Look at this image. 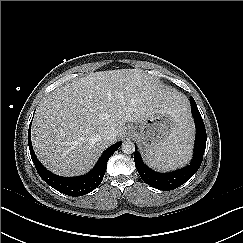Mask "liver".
<instances>
[{"label": "liver", "instance_id": "6515ba94", "mask_svg": "<svg viewBox=\"0 0 243 243\" xmlns=\"http://www.w3.org/2000/svg\"><path fill=\"white\" fill-rule=\"evenodd\" d=\"M166 109L179 128L190 130L187 99L140 69L90 73L51 92L32 124V144L45 167L61 176H77L93 167L101 153L123 137L125 124L143 123ZM108 130L115 133L104 139Z\"/></svg>", "mask_w": 243, "mask_h": 243}]
</instances>
